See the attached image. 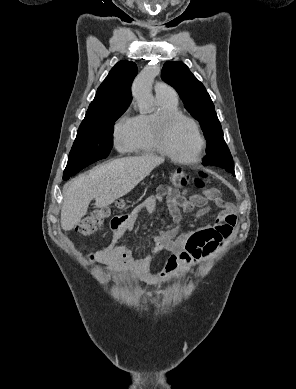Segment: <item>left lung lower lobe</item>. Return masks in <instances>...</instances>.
I'll use <instances>...</instances> for the list:
<instances>
[{
	"instance_id": "1",
	"label": "left lung lower lobe",
	"mask_w": 296,
	"mask_h": 389,
	"mask_svg": "<svg viewBox=\"0 0 296 389\" xmlns=\"http://www.w3.org/2000/svg\"><path fill=\"white\" fill-rule=\"evenodd\" d=\"M216 156L220 159L229 160L232 159L231 153L226 145V143L222 144L219 148L215 150ZM231 173L234 175V169L230 170Z\"/></svg>"
}]
</instances>
